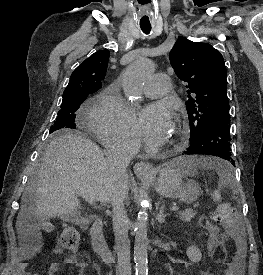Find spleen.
I'll list each match as a JSON object with an SVG mask.
<instances>
[{
    "instance_id": "obj_1",
    "label": "spleen",
    "mask_w": 263,
    "mask_h": 275,
    "mask_svg": "<svg viewBox=\"0 0 263 275\" xmlns=\"http://www.w3.org/2000/svg\"><path fill=\"white\" fill-rule=\"evenodd\" d=\"M177 171L183 177L195 176L197 169H213L219 176V186H229L231 188L235 185V178L233 175V168L227 161L217 158H191L184 157L176 160ZM215 201H221L220 190H215L212 193Z\"/></svg>"
}]
</instances>
